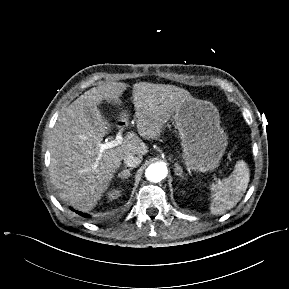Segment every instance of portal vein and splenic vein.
Masks as SVG:
<instances>
[{
  "mask_svg": "<svg viewBox=\"0 0 289 289\" xmlns=\"http://www.w3.org/2000/svg\"><path fill=\"white\" fill-rule=\"evenodd\" d=\"M122 143H123L122 133L118 132L116 134V138L114 140H111V141H108V142H105V143H102L99 145L100 146V152H103L106 149L114 148V147H116ZM216 180H217V182L220 183L219 179H216Z\"/></svg>",
  "mask_w": 289,
  "mask_h": 289,
  "instance_id": "18ae733b",
  "label": "portal vein and splenic vein"
}]
</instances>
